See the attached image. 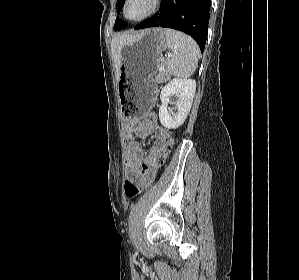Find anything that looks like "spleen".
I'll return each instance as SVG.
<instances>
[{"instance_id": "spleen-1", "label": "spleen", "mask_w": 299, "mask_h": 280, "mask_svg": "<svg viewBox=\"0 0 299 280\" xmlns=\"http://www.w3.org/2000/svg\"><path fill=\"white\" fill-rule=\"evenodd\" d=\"M164 35L172 50L171 60L167 63L169 74L181 79L190 77L200 58L197 43L190 36L173 29H164Z\"/></svg>"}]
</instances>
